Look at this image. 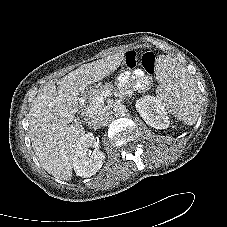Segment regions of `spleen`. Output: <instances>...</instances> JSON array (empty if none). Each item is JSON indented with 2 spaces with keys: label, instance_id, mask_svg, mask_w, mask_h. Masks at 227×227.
<instances>
[{
  "label": "spleen",
  "instance_id": "3e777b00",
  "mask_svg": "<svg viewBox=\"0 0 227 227\" xmlns=\"http://www.w3.org/2000/svg\"><path fill=\"white\" fill-rule=\"evenodd\" d=\"M159 100L169 113L192 125L199 117L201 94L186 68L176 59L160 55L156 65Z\"/></svg>",
  "mask_w": 227,
  "mask_h": 227
}]
</instances>
